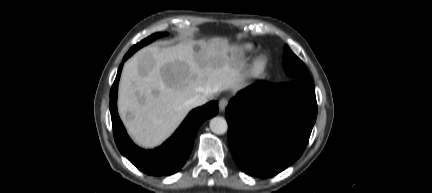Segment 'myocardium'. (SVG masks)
Listing matches in <instances>:
<instances>
[{
    "mask_svg": "<svg viewBox=\"0 0 432 193\" xmlns=\"http://www.w3.org/2000/svg\"><path fill=\"white\" fill-rule=\"evenodd\" d=\"M267 63L268 59L264 54L257 56L251 65V74L254 76L262 74L267 67Z\"/></svg>",
    "mask_w": 432,
    "mask_h": 193,
    "instance_id": "f54148a6",
    "label": "myocardium"
}]
</instances>
